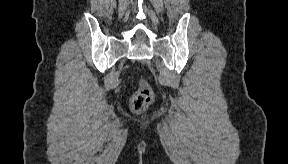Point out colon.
I'll list each match as a JSON object with an SVG mask.
<instances>
[{"label": "colon", "mask_w": 288, "mask_h": 164, "mask_svg": "<svg viewBox=\"0 0 288 164\" xmlns=\"http://www.w3.org/2000/svg\"><path fill=\"white\" fill-rule=\"evenodd\" d=\"M152 89L144 79H139L138 88L129 101L130 109L135 113H142L146 110L152 100Z\"/></svg>", "instance_id": "1"}]
</instances>
